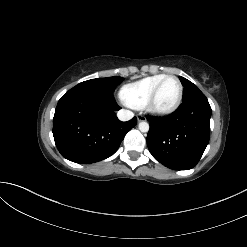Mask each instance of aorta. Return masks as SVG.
Wrapping results in <instances>:
<instances>
[{"label": "aorta", "mask_w": 247, "mask_h": 247, "mask_svg": "<svg viewBox=\"0 0 247 247\" xmlns=\"http://www.w3.org/2000/svg\"><path fill=\"white\" fill-rule=\"evenodd\" d=\"M138 128L141 132H148L149 131V124L145 121L139 123Z\"/></svg>", "instance_id": "aorta-1"}]
</instances>
